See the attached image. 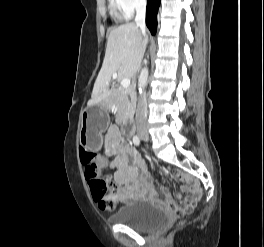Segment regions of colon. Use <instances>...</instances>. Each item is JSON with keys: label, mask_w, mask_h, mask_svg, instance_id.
Returning a JSON list of instances; mask_svg holds the SVG:
<instances>
[{"label": "colon", "mask_w": 264, "mask_h": 247, "mask_svg": "<svg viewBox=\"0 0 264 247\" xmlns=\"http://www.w3.org/2000/svg\"><path fill=\"white\" fill-rule=\"evenodd\" d=\"M81 162L85 165V178L88 182L93 199L102 209L112 210L116 206L113 182L100 173V163L95 152L82 151L80 154ZM199 195L185 197L182 201L173 204L174 213L183 216L193 211Z\"/></svg>", "instance_id": "5ec220e1"}]
</instances>
